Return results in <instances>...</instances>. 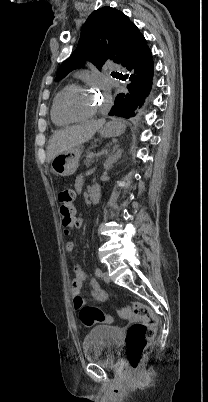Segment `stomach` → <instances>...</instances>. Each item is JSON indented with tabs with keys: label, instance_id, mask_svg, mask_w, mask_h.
I'll list each match as a JSON object with an SVG mask.
<instances>
[{
	"label": "stomach",
	"instance_id": "1",
	"mask_svg": "<svg viewBox=\"0 0 208 402\" xmlns=\"http://www.w3.org/2000/svg\"><path fill=\"white\" fill-rule=\"evenodd\" d=\"M125 128L126 126L123 120L113 118L111 122H107V124L102 126L101 130H99V134L102 138H115V136L124 134ZM81 148H83V146H74L71 150H66V152L55 156V158L51 160V168L54 174H57V176H72L78 168L82 152Z\"/></svg>",
	"mask_w": 208,
	"mask_h": 402
}]
</instances>
